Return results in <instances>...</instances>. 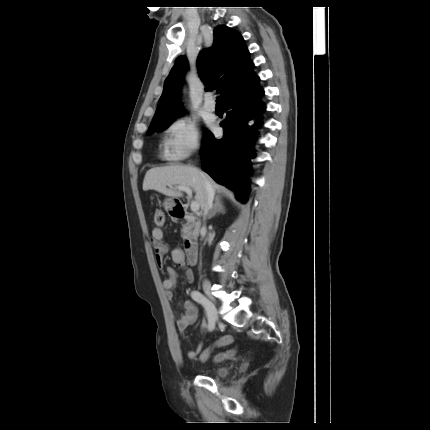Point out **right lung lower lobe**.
Returning a JSON list of instances; mask_svg holds the SVG:
<instances>
[{"label": "right lung lower lobe", "mask_w": 430, "mask_h": 430, "mask_svg": "<svg viewBox=\"0 0 430 430\" xmlns=\"http://www.w3.org/2000/svg\"><path fill=\"white\" fill-rule=\"evenodd\" d=\"M259 77L252 76L234 87L223 99L227 118L220 124L222 139H215L207 131L203 138L202 169L216 182L232 189L238 200L248 199L251 158L255 157L254 144L260 117L265 111L261 102L263 89ZM255 119L252 126L248 122Z\"/></svg>", "instance_id": "right-lung-lower-lobe-1"}]
</instances>
